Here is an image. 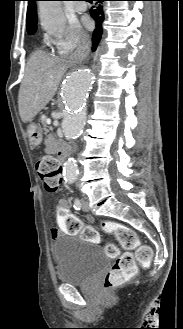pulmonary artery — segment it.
<instances>
[{"label": "pulmonary artery", "mask_w": 183, "mask_h": 329, "mask_svg": "<svg viewBox=\"0 0 183 329\" xmlns=\"http://www.w3.org/2000/svg\"><path fill=\"white\" fill-rule=\"evenodd\" d=\"M75 11L79 14L84 13L87 10V4L77 3L74 7Z\"/></svg>", "instance_id": "1"}]
</instances>
